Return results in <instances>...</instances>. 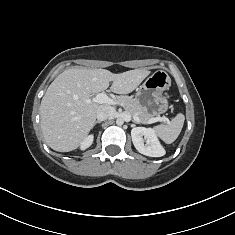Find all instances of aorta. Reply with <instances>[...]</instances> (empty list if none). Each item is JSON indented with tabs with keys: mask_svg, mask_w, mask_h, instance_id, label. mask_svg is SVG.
Instances as JSON below:
<instances>
[{
	"mask_svg": "<svg viewBox=\"0 0 235 235\" xmlns=\"http://www.w3.org/2000/svg\"><path fill=\"white\" fill-rule=\"evenodd\" d=\"M123 123H124V120L122 118H118L116 120V124L119 125V126L123 125Z\"/></svg>",
	"mask_w": 235,
	"mask_h": 235,
	"instance_id": "762f6f07",
	"label": "aorta"
}]
</instances>
